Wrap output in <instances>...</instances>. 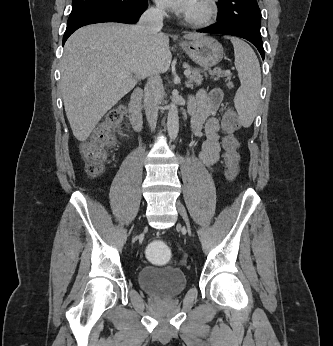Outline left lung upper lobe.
Returning <instances> with one entry per match:
<instances>
[{"label": "left lung upper lobe", "mask_w": 333, "mask_h": 346, "mask_svg": "<svg viewBox=\"0 0 333 346\" xmlns=\"http://www.w3.org/2000/svg\"><path fill=\"white\" fill-rule=\"evenodd\" d=\"M217 21L239 23L260 33L261 12L256 0H219Z\"/></svg>", "instance_id": "left-lung-upper-lobe-1"}]
</instances>
